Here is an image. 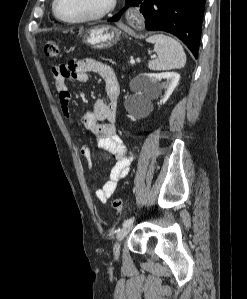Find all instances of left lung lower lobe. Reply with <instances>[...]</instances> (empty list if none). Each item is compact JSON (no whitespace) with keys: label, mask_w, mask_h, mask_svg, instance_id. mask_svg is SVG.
<instances>
[{"label":"left lung lower lobe","mask_w":247,"mask_h":299,"mask_svg":"<svg viewBox=\"0 0 247 299\" xmlns=\"http://www.w3.org/2000/svg\"><path fill=\"white\" fill-rule=\"evenodd\" d=\"M206 0H132L108 19L118 21L128 6H140L149 31H165L178 37L197 58Z\"/></svg>","instance_id":"left-lung-lower-lobe-1"}]
</instances>
